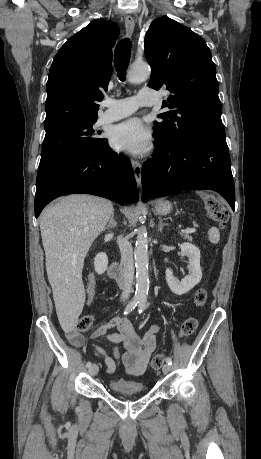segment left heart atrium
<instances>
[{"mask_svg": "<svg viewBox=\"0 0 261 459\" xmlns=\"http://www.w3.org/2000/svg\"><path fill=\"white\" fill-rule=\"evenodd\" d=\"M151 135L138 118H131L114 127L111 143L119 151L133 155L142 154L149 147Z\"/></svg>", "mask_w": 261, "mask_h": 459, "instance_id": "obj_1", "label": "left heart atrium"}]
</instances>
